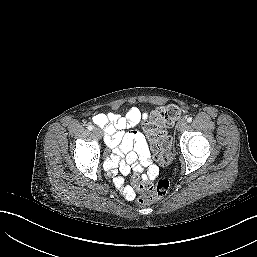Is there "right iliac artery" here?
Instances as JSON below:
<instances>
[{
	"instance_id": "right-iliac-artery-1",
	"label": "right iliac artery",
	"mask_w": 257,
	"mask_h": 257,
	"mask_svg": "<svg viewBox=\"0 0 257 257\" xmlns=\"http://www.w3.org/2000/svg\"><path fill=\"white\" fill-rule=\"evenodd\" d=\"M87 128H88V130H90V131L93 130V126H92V125H88Z\"/></svg>"
}]
</instances>
